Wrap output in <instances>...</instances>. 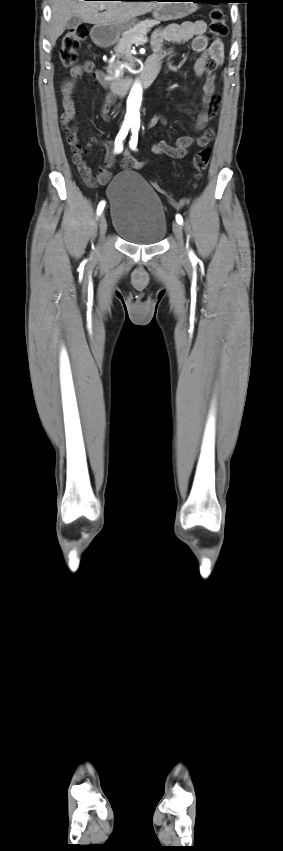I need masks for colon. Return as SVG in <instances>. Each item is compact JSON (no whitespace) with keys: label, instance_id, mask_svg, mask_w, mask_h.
<instances>
[{"label":"colon","instance_id":"1","mask_svg":"<svg viewBox=\"0 0 283 851\" xmlns=\"http://www.w3.org/2000/svg\"><path fill=\"white\" fill-rule=\"evenodd\" d=\"M209 16V36L212 38H219L227 35L228 28L225 12L220 7H215L210 11ZM87 36L88 28L85 25H79L63 35L59 51L60 62L63 66H71L77 62L80 44L87 38ZM210 158L211 149L208 147L200 149L195 154L193 158V168L195 170L196 177H199L207 168ZM155 188L161 195L169 199L175 208H181L187 203L186 200H173L171 193L161 188L158 184H155Z\"/></svg>","mask_w":283,"mask_h":851}]
</instances>
